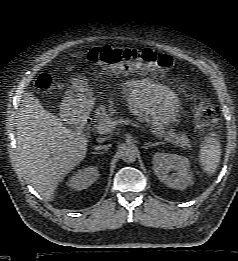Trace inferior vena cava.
Listing matches in <instances>:
<instances>
[{
	"label": "inferior vena cava",
	"mask_w": 238,
	"mask_h": 261,
	"mask_svg": "<svg viewBox=\"0 0 238 261\" xmlns=\"http://www.w3.org/2000/svg\"><path fill=\"white\" fill-rule=\"evenodd\" d=\"M109 145H100V146H95V150H102V149H105V150H107V149H109Z\"/></svg>",
	"instance_id": "inferior-vena-cava-1"
}]
</instances>
